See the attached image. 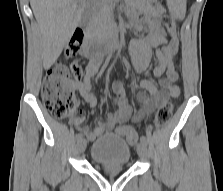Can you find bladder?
Returning a JSON list of instances; mask_svg holds the SVG:
<instances>
[{
	"label": "bladder",
	"instance_id": "1",
	"mask_svg": "<svg viewBox=\"0 0 223 191\" xmlns=\"http://www.w3.org/2000/svg\"><path fill=\"white\" fill-rule=\"evenodd\" d=\"M90 157L100 166H127L130 164L132 153L124 138L108 134L93 142Z\"/></svg>",
	"mask_w": 223,
	"mask_h": 191
}]
</instances>
